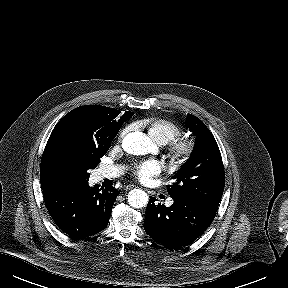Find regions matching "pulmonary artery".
<instances>
[{"label":"pulmonary artery","instance_id":"e3ab8cb5","mask_svg":"<svg viewBox=\"0 0 288 288\" xmlns=\"http://www.w3.org/2000/svg\"><path fill=\"white\" fill-rule=\"evenodd\" d=\"M122 173V167L118 165H107L101 167L97 173L96 178L102 180L104 178H114L119 176ZM173 200H168L167 204L171 205Z\"/></svg>","mask_w":288,"mask_h":288}]
</instances>
